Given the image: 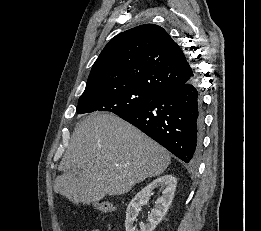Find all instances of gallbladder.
I'll list each match as a JSON object with an SVG mask.
<instances>
[{"instance_id": "bac80fb5", "label": "gallbladder", "mask_w": 261, "mask_h": 231, "mask_svg": "<svg viewBox=\"0 0 261 231\" xmlns=\"http://www.w3.org/2000/svg\"><path fill=\"white\" fill-rule=\"evenodd\" d=\"M75 175L77 176V175H78V172H76Z\"/></svg>"}]
</instances>
